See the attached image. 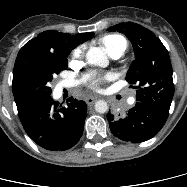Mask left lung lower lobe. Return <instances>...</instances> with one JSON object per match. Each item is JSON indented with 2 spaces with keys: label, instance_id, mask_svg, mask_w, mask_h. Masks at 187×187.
<instances>
[{
  "label": "left lung lower lobe",
  "instance_id": "0a47b994",
  "mask_svg": "<svg viewBox=\"0 0 187 187\" xmlns=\"http://www.w3.org/2000/svg\"><path fill=\"white\" fill-rule=\"evenodd\" d=\"M169 112L137 102L128 115L116 120L109 112L107 119L112 134L132 143H140L154 137L164 126Z\"/></svg>",
  "mask_w": 187,
  "mask_h": 187
}]
</instances>
